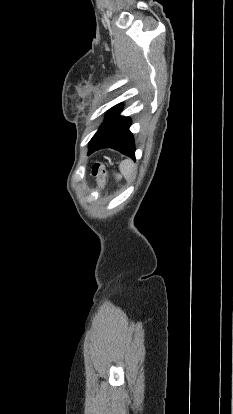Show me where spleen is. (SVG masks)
<instances>
[{
	"label": "spleen",
	"mask_w": 233,
	"mask_h": 414,
	"mask_svg": "<svg viewBox=\"0 0 233 414\" xmlns=\"http://www.w3.org/2000/svg\"><path fill=\"white\" fill-rule=\"evenodd\" d=\"M120 171L121 173L129 180L135 174V167L131 160L123 161L120 164Z\"/></svg>",
	"instance_id": "spleen-1"
}]
</instances>
